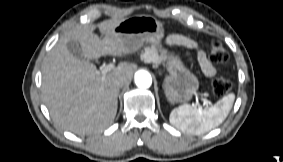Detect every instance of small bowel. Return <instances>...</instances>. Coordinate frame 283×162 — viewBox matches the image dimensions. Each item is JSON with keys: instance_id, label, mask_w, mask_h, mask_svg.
<instances>
[{"instance_id": "small-bowel-1", "label": "small bowel", "mask_w": 283, "mask_h": 162, "mask_svg": "<svg viewBox=\"0 0 283 162\" xmlns=\"http://www.w3.org/2000/svg\"><path fill=\"white\" fill-rule=\"evenodd\" d=\"M169 45H179L185 47L187 50H194L196 52V60L200 66L201 71L204 75L211 77L215 75L216 69L209 62L206 54L199 48L198 44L193 40L179 35L170 36L166 40Z\"/></svg>"}]
</instances>
